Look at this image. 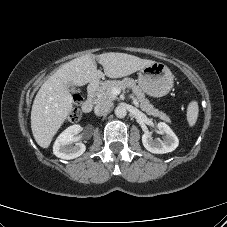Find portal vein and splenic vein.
Returning <instances> with one entry per match:
<instances>
[{"mask_svg":"<svg viewBox=\"0 0 227 227\" xmlns=\"http://www.w3.org/2000/svg\"><path fill=\"white\" fill-rule=\"evenodd\" d=\"M112 92H113V94H115V95H117V94L120 93V91H119L118 89H116V88H114V89L112 90ZM134 103H135L136 106H138V102H137L136 100H134Z\"/></svg>","mask_w":227,"mask_h":227,"instance_id":"1","label":"portal vein and splenic vein"}]
</instances>
